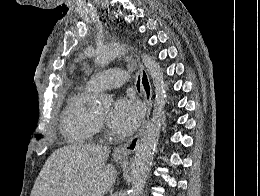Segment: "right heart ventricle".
Returning <instances> with one entry per match:
<instances>
[{
    "mask_svg": "<svg viewBox=\"0 0 260 196\" xmlns=\"http://www.w3.org/2000/svg\"><path fill=\"white\" fill-rule=\"evenodd\" d=\"M96 94L97 92L89 83L72 87L70 99L62 115V131L70 141L76 143L94 141L89 131L97 129V125L89 102ZM50 192H55V190H50Z\"/></svg>",
    "mask_w": 260,
    "mask_h": 196,
    "instance_id": "right-heart-ventricle-1",
    "label": "right heart ventricle"
}]
</instances>
